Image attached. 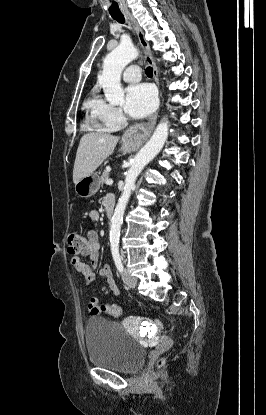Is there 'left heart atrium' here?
<instances>
[{
  "label": "left heart atrium",
  "instance_id": "obj_1",
  "mask_svg": "<svg viewBox=\"0 0 266 415\" xmlns=\"http://www.w3.org/2000/svg\"><path fill=\"white\" fill-rule=\"evenodd\" d=\"M157 105L155 90L149 84H134L127 88L124 110L133 118H143L154 111Z\"/></svg>",
  "mask_w": 266,
  "mask_h": 415
}]
</instances>
